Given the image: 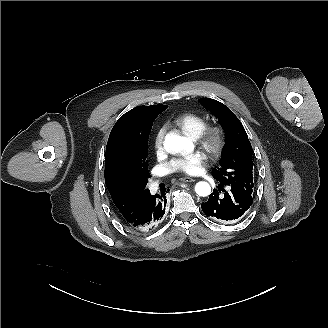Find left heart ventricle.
Instances as JSON below:
<instances>
[{
	"mask_svg": "<svg viewBox=\"0 0 328 328\" xmlns=\"http://www.w3.org/2000/svg\"><path fill=\"white\" fill-rule=\"evenodd\" d=\"M192 150H193V148H192L189 152H191ZM202 151H203V153H199V154H201V155L204 157V160L207 161V157H208V156L210 157L211 155H210V153H209L208 151H206L205 149H202ZM189 152H188V153H189Z\"/></svg>",
	"mask_w": 328,
	"mask_h": 328,
	"instance_id": "obj_1",
	"label": "left heart ventricle"
}]
</instances>
